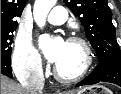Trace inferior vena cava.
<instances>
[{
    "instance_id": "inferior-vena-cava-1",
    "label": "inferior vena cava",
    "mask_w": 121,
    "mask_h": 94,
    "mask_svg": "<svg viewBox=\"0 0 121 94\" xmlns=\"http://www.w3.org/2000/svg\"><path fill=\"white\" fill-rule=\"evenodd\" d=\"M44 75L42 68H37L27 83H23L22 87L27 94H41L44 87Z\"/></svg>"
}]
</instances>
